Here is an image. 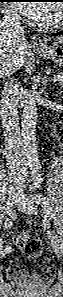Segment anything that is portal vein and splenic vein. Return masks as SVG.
Masks as SVG:
<instances>
[{"label": "portal vein and splenic vein", "mask_w": 63, "mask_h": 297, "mask_svg": "<svg viewBox=\"0 0 63 297\" xmlns=\"http://www.w3.org/2000/svg\"><path fill=\"white\" fill-rule=\"evenodd\" d=\"M51 80H53L54 82H56V81H63V77H60V76H53L52 78H51Z\"/></svg>", "instance_id": "1"}]
</instances>
